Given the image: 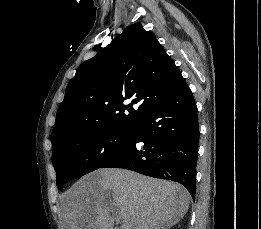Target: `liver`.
Returning <instances> with one entry per match:
<instances>
[{
	"label": "liver",
	"instance_id": "obj_1",
	"mask_svg": "<svg viewBox=\"0 0 261 229\" xmlns=\"http://www.w3.org/2000/svg\"><path fill=\"white\" fill-rule=\"evenodd\" d=\"M190 195L179 183L125 169H98L63 197L66 229H171L186 215Z\"/></svg>",
	"mask_w": 261,
	"mask_h": 229
}]
</instances>
